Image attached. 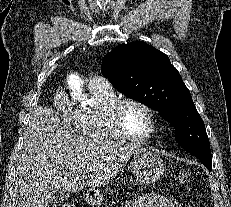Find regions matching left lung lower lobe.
Returning <instances> with one entry per match:
<instances>
[{"instance_id": "1", "label": "left lung lower lobe", "mask_w": 231, "mask_h": 207, "mask_svg": "<svg viewBox=\"0 0 231 207\" xmlns=\"http://www.w3.org/2000/svg\"><path fill=\"white\" fill-rule=\"evenodd\" d=\"M200 161L206 166V168H207L209 171L212 170V162L210 163V162H205V161H202V160H200Z\"/></svg>"}]
</instances>
